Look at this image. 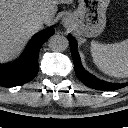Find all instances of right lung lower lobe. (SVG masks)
Masks as SVG:
<instances>
[{"instance_id":"obj_1","label":"right lung lower lobe","mask_w":128,"mask_h":128,"mask_svg":"<svg viewBox=\"0 0 128 128\" xmlns=\"http://www.w3.org/2000/svg\"><path fill=\"white\" fill-rule=\"evenodd\" d=\"M53 34V28L39 32L21 58L11 64H0V85L13 87L31 81L38 73L39 50L43 42Z\"/></svg>"}]
</instances>
